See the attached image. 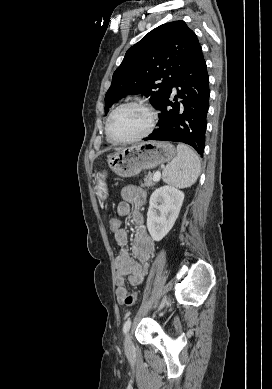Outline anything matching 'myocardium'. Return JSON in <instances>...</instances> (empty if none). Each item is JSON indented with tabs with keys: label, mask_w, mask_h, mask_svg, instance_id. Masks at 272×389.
<instances>
[{
	"label": "myocardium",
	"mask_w": 272,
	"mask_h": 389,
	"mask_svg": "<svg viewBox=\"0 0 272 389\" xmlns=\"http://www.w3.org/2000/svg\"><path fill=\"white\" fill-rule=\"evenodd\" d=\"M127 106H137V107H140L141 109H143L147 113V115H148V125L146 126V128L141 133H139V134H137V135H135V136H133L131 138L115 139L111 135V133H110V122H111V119L113 118V116L115 115V113L118 110H120L121 108L127 107ZM156 119H157L156 112L154 111V109L148 103H146V102H144L142 100H137V99L129 100V101H126V102H123V103L119 104L117 107H115L111 111V113L109 114V116L107 118V121H106L105 133H106L107 138L112 143H115V144L132 143V142L141 140V139L145 138L146 136H148L152 132L154 127H155Z\"/></svg>",
	"instance_id": "myocardium-1"
}]
</instances>
